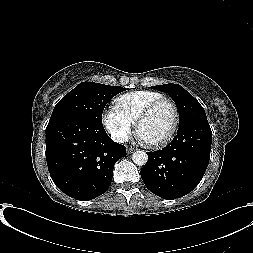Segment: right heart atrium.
<instances>
[{
    "label": "right heart atrium",
    "mask_w": 253,
    "mask_h": 253,
    "mask_svg": "<svg viewBox=\"0 0 253 253\" xmlns=\"http://www.w3.org/2000/svg\"><path fill=\"white\" fill-rule=\"evenodd\" d=\"M103 124L112 138L119 142H126L132 133L134 123L130 121L116 106L107 108L103 113Z\"/></svg>",
    "instance_id": "right-heart-atrium-1"
}]
</instances>
